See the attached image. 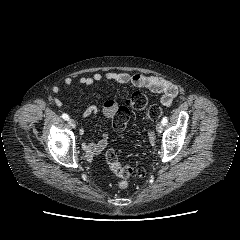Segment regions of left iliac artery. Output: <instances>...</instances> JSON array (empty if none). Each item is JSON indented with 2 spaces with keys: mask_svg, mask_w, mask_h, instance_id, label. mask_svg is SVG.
<instances>
[{
  "mask_svg": "<svg viewBox=\"0 0 240 240\" xmlns=\"http://www.w3.org/2000/svg\"><path fill=\"white\" fill-rule=\"evenodd\" d=\"M161 122H162L163 125H166L167 122H168V118L166 116L163 117Z\"/></svg>",
  "mask_w": 240,
  "mask_h": 240,
  "instance_id": "obj_1",
  "label": "left iliac artery"
}]
</instances>
